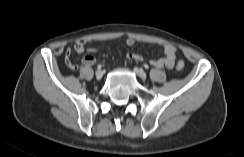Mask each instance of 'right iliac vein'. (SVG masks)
Listing matches in <instances>:
<instances>
[{"label": "right iliac vein", "mask_w": 244, "mask_h": 157, "mask_svg": "<svg viewBox=\"0 0 244 157\" xmlns=\"http://www.w3.org/2000/svg\"><path fill=\"white\" fill-rule=\"evenodd\" d=\"M95 76L98 80H100L103 77V72L101 70H97Z\"/></svg>", "instance_id": "right-iliac-vein-1"}]
</instances>
